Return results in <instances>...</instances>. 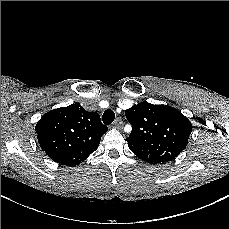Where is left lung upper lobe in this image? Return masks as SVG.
Instances as JSON below:
<instances>
[{
	"label": "left lung upper lobe",
	"mask_w": 229,
	"mask_h": 229,
	"mask_svg": "<svg viewBox=\"0 0 229 229\" xmlns=\"http://www.w3.org/2000/svg\"><path fill=\"white\" fill-rule=\"evenodd\" d=\"M125 115L132 125L129 149L148 163L174 160L188 144L191 122L174 108L141 102Z\"/></svg>",
	"instance_id": "1"
}]
</instances>
